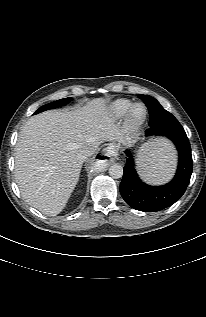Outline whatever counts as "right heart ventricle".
Returning a JSON list of instances; mask_svg holds the SVG:
<instances>
[{"label":"right heart ventricle","mask_w":206,"mask_h":317,"mask_svg":"<svg viewBox=\"0 0 206 317\" xmlns=\"http://www.w3.org/2000/svg\"><path fill=\"white\" fill-rule=\"evenodd\" d=\"M132 105L128 99H117L109 105L108 113L113 119H120L131 109Z\"/></svg>","instance_id":"1"}]
</instances>
